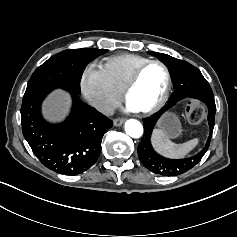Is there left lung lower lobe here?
<instances>
[{"mask_svg":"<svg viewBox=\"0 0 237 237\" xmlns=\"http://www.w3.org/2000/svg\"><path fill=\"white\" fill-rule=\"evenodd\" d=\"M201 101L204 102L208 107V122L210 126V134H212L213 128H214L215 112H216L215 101H214V98H206ZM167 109L169 108H167V105H166L159 113H157L159 117Z\"/></svg>","mask_w":237,"mask_h":237,"instance_id":"obj_1","label":"left lung lower lobe"}]
</instances>
